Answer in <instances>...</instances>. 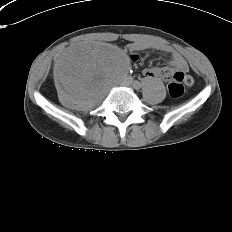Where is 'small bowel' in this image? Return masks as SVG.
I'll list each match as a JSON object with an SVG mask.
<instances>
[{"label": "small bowel", "instance_id": "1", "mask_svg": "<svg viewBox=\"0 0 232 232\" xmlns=\"http://www.w3.org/2000/svg\"><path fill=\"white\" fill-rule=\"evenodd\" d=\"M147 48H155V49H163L172 55L171 64L173 69L164 67V68H155V69H145L143 71V75L147 79L152 78H160L162 80H170L174 77L175 74H184L187 70L186 62L182 58V56L173 48L165 45H160L156 43H151L144 40H135L128 46V50L131 52L129 59L132 63L137 64L140 62L141 57L138 51L147 49ZM174 71H177L175 73Z\"/></svg>", "mask_w": 232, "mask_h": 232}]
</instances>
